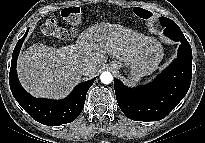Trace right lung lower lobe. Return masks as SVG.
<instances>
[{
	"label": "right lung lower lobe",
	"instance_id": "98d812e1",
	"mask_svg": "<svg viewBox=\"0 0 205 143\" xmlns=\"http://www.w3.org/2000/svg\"><path fill=\"white\" fill-rule=\"evenodd\" d=\"M28 31L29 29L17 42L12 54L9 74V84L12 94L20 106L37 122L48 126L70 123L83 110L87 91L96 78L80 83L68 97L62 100L35 98L28 94L20 85L16 72L18 54Z\"/></svg>",
	"mask_w": 205,
	"mask_h": 143
}]
</instances>
